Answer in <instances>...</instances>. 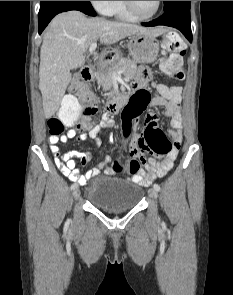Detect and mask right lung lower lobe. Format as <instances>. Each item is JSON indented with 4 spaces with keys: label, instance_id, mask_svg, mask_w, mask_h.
Wrapping results in <instances>:
<instances>
[{
    "label": "right lung lower lobe",
    "instance_id": "1",
    "mask_svg": "<svg viewBox=\"0 0 233 295\" xmlns=\"http://www.w3.org/2000/svg\"><path fill=\"white\" fill-rule=\"evenodd\" d=\"M69 10H79L87 15L96 16L89 1H41L38 15L39 34L42 33L55 15Z\"/></svg>",
    "mask_w": 233,
    "mask_h": 295
}]
</instances>
